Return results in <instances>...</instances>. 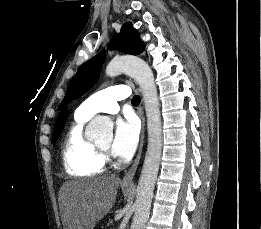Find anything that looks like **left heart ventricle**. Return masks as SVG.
Returning <instances> with one entry per match:
<instances>
[{
	"instance_id": "left-heart-ventricle-1",
	"label": "left heart ventricle",
	"mask_w": 261,
	"mask_h": 229,
	"mask_svg": "<svg viewBox=\"0 0 261 229\" xmlns=\"http://www.w3.org/2000/svg\"><path fill=\"white\" fill-rule=\"evenodd\" d=\"M110 142H111V137H109V138L105 139L104 141H102V142L100 143V145L103 146V147L108 148L109 145H110Z\"/></svg>"
}]
</instances>
